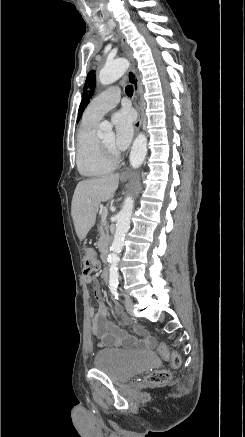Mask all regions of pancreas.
<instances>
[{"label":"pancreas","mask_w":245,"mask_h":437,"mask_svg":"<svg viewBox=\"0 0 245 437\" xmlns=\"http://www.w3.org/2000/svg\"><path fill=\"white\" fill-rule=\"evenodd\" d=\"M99 234H100V238L98 240V248L100 251H103L108 245L110 240L108 225L103 220L101 221L99 226Z\"/></svg>","instance_id":"1"}]
</instances>
